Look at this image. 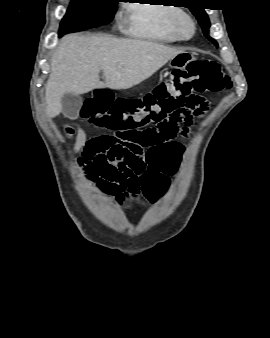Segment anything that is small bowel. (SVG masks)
<instances>
[{"mask_svg": "<svg viewBox=\"0 0 270 338\" xmlns=\"http://www.w3.org/2000/svg\"><path fill=\"white\" fill-rule=\"evenodd\" d=\"M168 121L169 119L166 120V122ZM66 131L69 134H76L74 151L79 152L77 166L82 182L87 186L95 185L99 190H102L106 176L111 169L124 161L134 150L136 157H138L139 147L122 140L119 136L100 134L88 138L85 130L78 124L68 125ZM173 143L177 142L169 140L161 146ZM151 151L152 149L147 153V156ZM181 151L182 146L180 145L176 151L155 158L154 168L151 169L154 177L152 179L144 176L139 178L140 185L151 192L154 200L163 194L170 177L176 173Z\"/></svg>", "mask_w": 270, "mask_h": 338, "instance_id": "1", "label": "small bowel"}]
</instances>
